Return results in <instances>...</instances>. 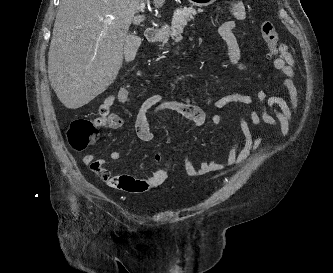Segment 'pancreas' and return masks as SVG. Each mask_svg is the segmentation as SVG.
<instances>
[{
  "instance_id": "obj_1",
  "label": "pancreas",
  "mask_w": 333,
  "mask_h": 273,
  "mask_svg": "<svg viewBox=\"0 0 333 273\" xmlns=\"http://www.w3.org/2000/svg\"><path fill=\"white\" fill-rule=\"evenodd\" d=\"M196 14L197 11L192 7L177 8L173 14L171 22L170 36L172 38H179L183 33L187 22L193 20Z\"/></svg>"
}]
</instances>
